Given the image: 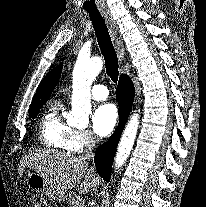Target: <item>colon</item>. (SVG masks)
Here are the masks:
<instances>
[{
  "label": "colon",
  "instance_id": "5ec220e1",
  "mask_svg": "<svg viewBox=\"0 0 206 207\" xmlns=\"http://www.w3.org/2000/svg\"><path fill=\"white\" fill-rule=\"evenodd\" d=\"M34 207H48L46 201L42 198H35V206Z\"/></svg>",
  "mask_w": 206,
  "mask_h": 207
}]
</instances>
